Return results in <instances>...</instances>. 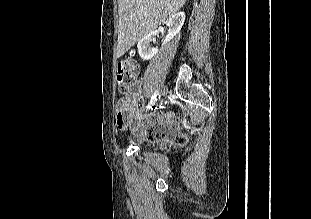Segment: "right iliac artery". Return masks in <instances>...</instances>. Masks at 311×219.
I'll use <instances>...</instances> for the list:
<instances>
[{
	"mask_svg": "<svg viewBox=\"0 0 311 219\" xmlns=\"http://www.w3.org/2000/svg\"><path fill=\"white\" fill-rule=\"evenodd\" d=\"M158 95H159V91L156 90L147 106V109H150L155 104Z\"/></svg>",
	"mask_w": 311,
	"mask_h": 219,
	"instance_id": "1",
	"label": "right iliac artery"
}]
</instances>
